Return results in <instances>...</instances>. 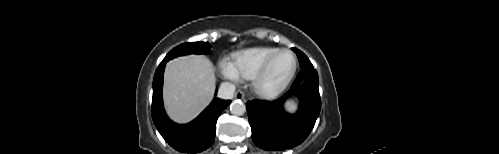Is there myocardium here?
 Instances as JSON below:
<instances>
[{"instance_id":"1","label":"myocardium","mask_w":499,"mask_h":154,"mask_svg":"<svg viewBox=\"0 0 499 154\" xmlns=\"http://www.w3.org/2000/svg\"><path fill=\"white\" fill-rule=\"evenodd\" d=\"M282 54H287L291 58V68L287 72V74L279 80L277 83L273 85H268L266 83L268 73L270 68L277 57ZM297 70V60L295 55L289 50H278L272 56H270L267 61L263 64L260 70L254 75L252 78V87L254 92L262 98L271 99L279 94H281L286 87L289 85L291 80L293 79Z\"/></svg>"}]
</instances>
